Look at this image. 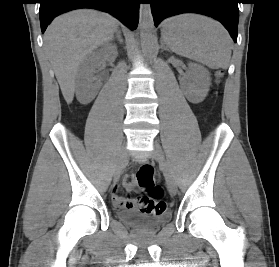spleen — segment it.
I'll return each instance as SVG.
<instances>
[{"label":"spleen","mask_w":279,"mask_h":267,"mask_svg":"<svg viewBox=\"0 0 279 267\" xmlns=\"http://www.w3.org/2000/svg\"><path fill=\"white\" fill-rule=\"evenodd\" d=\"M162 37L178 55L212 68L229 66L232 40L224 27L209 17L182 14L170 18L163 25Z\"/></svg>","instance_id":"spleen-1"}]
</instances>
